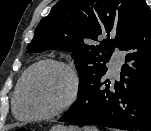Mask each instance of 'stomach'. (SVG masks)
Segmentation results:
<instances>
[{
	"label": "stomach",
	"instance_id": "obj_1",
	"mask_svg": "<svg viewBox=\"0 0 151 131\" xmlns=\"http://www.w3.org/2000/svg\"><path fill=\"white\" fill-rule=\"evenodd\" d=\"M51 131H81L78 127L75 126H63V125H56L53 126Z\"/></svg>",
	"mask_w": 151,
	"mask_h": 131
}]
</instances>
